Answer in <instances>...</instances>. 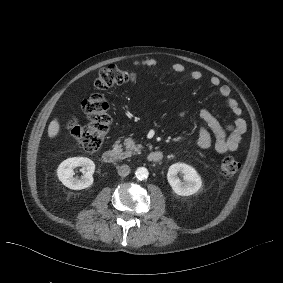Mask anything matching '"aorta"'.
<instances>
[{"mask_svg":"<svg viewBox=\"0 0 283 283\" xmlns=\"http://www.w3.org/2000/svg\"><path fill=\"white\" fill-rule=\"evenodd\" d=\"M148 175V170L145 167H139L135 172V176L138 180H145Z\"/></svg>","mask_w":283,"mask_h":283,"instance_id":"762f6f07","label":"aorta"}]
</instances>
